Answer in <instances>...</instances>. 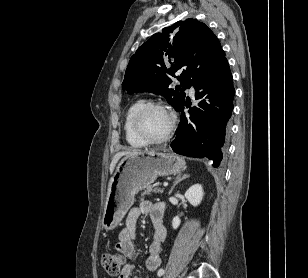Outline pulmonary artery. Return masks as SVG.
Listing matches in <instances>:
<instances>
[{
  "mask_svg": "<svg viewBox=\"0 0 308 278\" xmlns=\"http://www.w3.org/2000/svg\"><path fill=\"white\" fill-rule=\"evenodd\" d=\"M189 93H190V95H194V93H195V88H194V86H190V88H189Z\"/></svg>",
  "mask_w": 308,
  "mask_h": 278,
  "instance_id": "1",
  "label": "pulmonary artery"
}]
</instances>
